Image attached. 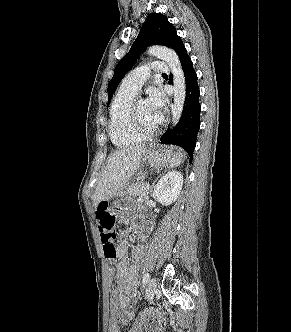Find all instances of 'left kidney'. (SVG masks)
Segmentation results:
<instances>
[{
  "label": "left kidney",
  "instance_id": "left-kidney-1",
  "mask_svg": "<svg viewBox=\"0 0 291 332\" xmlns=\"http://www.w3.org/2000/svg\"><path fill=\"white\" fill-rule=\"evenodd\" d=\"M183 186V175L177 171L165 174L156 184L153 198L163 205H170L178 198Z\"/></svg>",
  "mask_w": 291,
  "mask_h": 332
}]
</instances>
